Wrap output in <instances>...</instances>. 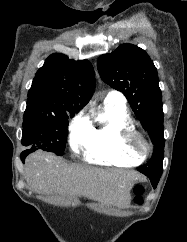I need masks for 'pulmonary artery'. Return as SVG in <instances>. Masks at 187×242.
Returning <instances> with one entry per match:
<instances>
[{
  "label": "pulmonary artery",
  "mask_w": 187,
  "mask_h": 242,
  "mask_svg": "<svg viewBox=\"0 0 187 242\" xmlns=\"http://www.w3.org/2000/svg\"><path fill=\"white\" fill-rule=\"evenodd\" d=\"M104 102L106 103H114V104H125V98L124 96L117 91H110L105 99Z\"/></svg>",
  "instance_id": "1"
}]
</instances>
